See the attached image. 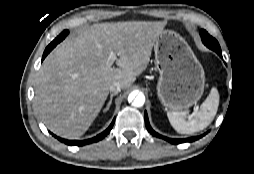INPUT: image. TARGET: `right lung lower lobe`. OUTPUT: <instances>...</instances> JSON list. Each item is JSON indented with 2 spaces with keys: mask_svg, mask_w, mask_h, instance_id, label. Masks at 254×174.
Wrapping results in <instances>:
<instances>
[{
  "mask_svg": "<svg viewBox=\"0 0 254 174\" xmlns=\"http://www.w3.org/2000/svg\"><path fill=\"white\" fill-rule=\"evenodd\" d=\"M69 31L68 30H64L55 40H53L45 49L44 53H43V57H42V61L43 59L47 56V54L58 44L60 43L67 35H68ZM115 120L112 121V123L110 124V126L101 134L97 135L94 138L91 139H87V140H83V141H78V140H65L63 138L60 137H56L54 134H52L53 136H55L59 141L66 143L67 145H73V146H82V145H86L89 143H93V142H97L101 139H103L112 129L113 124H114Z\"/></svg>",
  "mask_w": 254,
  "mask_h": 174,
  "instance_id": "obj_1",
  "label": "right lung lower lobe"
}]
</instances>
